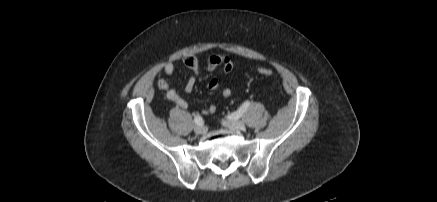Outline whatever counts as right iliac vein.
Returning a JSON list of instances; mask_svg holds the SVG:
<instances>
[{
  "instance_id": "obj_1",
  "label": "right iliac vein",
  "mask_w": 437,
  "mask_h": 202,
  "mask_svg": "<svg viewBox=\"0 0 437 202\" xmlns=\"http://www.w3.org/2000/svg\"><path fill=\"white\" fill-rule=\"evenodd\" d=\"M194 132L198 135L204 134L206 132V128L203 125H197L194 127Z\"/></svg>"
}]
</instances>
